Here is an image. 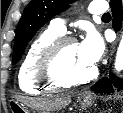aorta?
<instances>
[{
	"label": "aorta",
	"instance_id": "obj_1",
	"mask_svg": "<svg viewBox=\"0 0 123 113\" xmlns=\"http://www.w3.org/2000/svg\"><path fill=\"white\" fill-rule=\"evenodd\" d=\"M115 69L117 71L123 70V36L120 41L117 54H116V59H115Z\"/></svg>",
	"mask_w": 123,
	"mask_h": 113
}]
</instances>
